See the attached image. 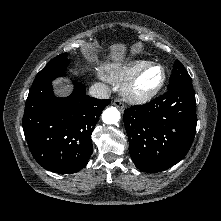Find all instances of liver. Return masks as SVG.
Wrapping results in <instances>:
<instances>
[{"instance_id":"obj_1","label":"liver","mask_w":221,"mask_h":221,"mask_svg":"<svg viewBox=\"0 0 221 221\" xmlns=\"http://www.w3.org/2000/svg\"><path fill=\"white\" fill-rule=\"evenodd\" d=\"M126 49V45L122 43L112 44L109 46L108 58L112 60V62L115 64L121 63L125 58ZM55 84L59 93H61L62 95L68 93V85L65 82H63L62 80H57Z\"/></svg>"}]
</instances>
